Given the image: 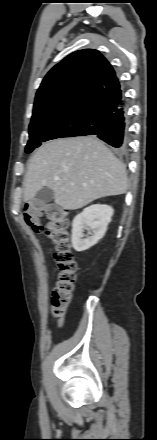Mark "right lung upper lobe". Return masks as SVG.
<instances>
[{
	"label": "right lung upper lobe",
	"mask_w": 157,
	"mask_h": 440,
	"mask_svg": "<svg viewBox=\"0 0 157 440\" xmlns=\"http://www.w3.org/2000/svg\"><path fill=\"white\" fill-rule=\"evenodd\" d=\"M123 100L115 71L97 51H76L55 65L37 91L33 121L71 120L87 124Z\"/></svg>",
	"instance_id": "obj_1"
}]
</instances>
